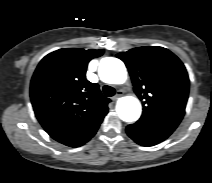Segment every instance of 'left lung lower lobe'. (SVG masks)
Returning a JSON list of instances; mask_svg holds the SVG:
<instances>
[{
    "mask_svg": "<svg viewBox=\"0 0 212 183\" xmlns=\"http://www.w3.org/2000/svg\"><path fill=\"white\" fill-rule=\"evenodd\" d=\"M126 132L136 143L142 146H152L165 140L173 131L136 122L127 126Z\"/></svg>",
    "mask_w": 212,
    "mask_h": 183,
    "instance_id": "obj_1",
    "label": "left lung lower lobe"
}]
</instances>
